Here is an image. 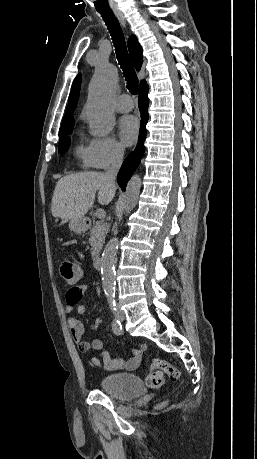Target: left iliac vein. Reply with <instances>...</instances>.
<instances>
[{
    "label": "left iliac vein",
    "mask_w": 257,
    "mask_h": 459,
    "mask_svg": "<svg viewBox=\"0 0 257 459\" xmlns=\"http://www.w3.org/2000/svg\"><path fill=\"white\" fill-rule=\"evenodd\" d=\"M119 319L124 320V313L122 311H119Z\"/></svg>",
    "instance_id": "4c4485c4"
}]
</instances>
